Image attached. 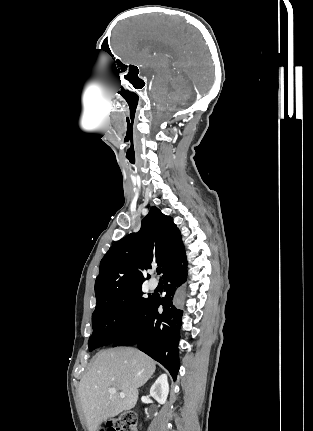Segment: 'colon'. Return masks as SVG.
<instances>
[{"label": "colon", "instance_id": "obj_1", "mask_svg": "<svg viewBox=\"0 0 313 431\" xmlns=\"http://www.w3.org/2000/svg\"><path fill=\"white\" fill-rule=\"evenodd\" d=\"M102 431H137V416L134 412H123Z\"/></svg>", "mask_w": 313, "mask_h": 431}]
</instances>
